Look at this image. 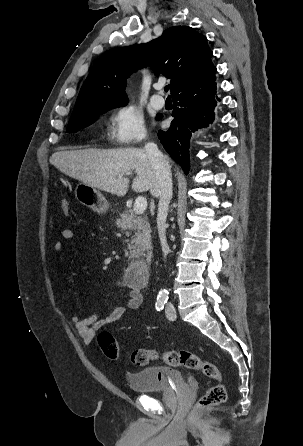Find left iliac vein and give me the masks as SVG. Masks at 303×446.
Instances as JSON below:
<instances>
[{"label": "left iliac vein", "mask_w": 303, "mask_h": 446, "mask_svg": "<svg viewBox=\"0 0 303 446\" xmlns=\"http://www.w3.org/2000/svg\"><path fill=\"white\" fill-rule=\"evenodd\" d=\"M165 314L169 320H174L176 318V311L172 304L166 306Z\"/></svg>", "instance_id": "4c4485c4"}]
</instances>
